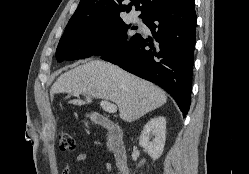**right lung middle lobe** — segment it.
Here are the masks:
<instances>
[{"label":"right lung middle lobe","instance_id":"right-lung-middle-lobe-1","mask_svg":"<svg viewBox=\"0 0 249 174\" xmlns=\"http://www.w3.org/2000/svg\"><path fill=\"white\" fill-rule=\"evenodd\" d=\"M129 27L121 17L66 26L57 47L56 58L62 62L118 53L141 36L135 34L127 41Z\"/></svg>","mask_w":249,"mask_h":174}]
</instances>
